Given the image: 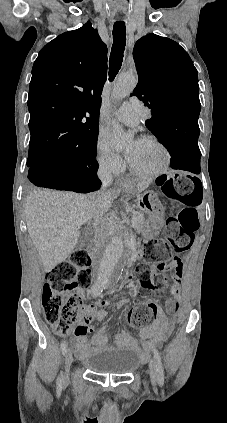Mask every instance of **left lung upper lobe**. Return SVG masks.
Segmentation results:
<instances>
[{
	"instance_id": "5c2ea615",
	"label": "left lung upper lobe",
	"mask_w": 227,
	"mask_h": 423,
	"mask_svg": "<svg viewBox=\"0 0 227 423\" xmlns=\"http://www.w3.org/2000/svg\"><path fill=\"white\" fill-rule=\"evenodd\" d=\"M139 76L131 96L151 109L146 127L160 140L199 129L198 73L175 41L155 34L139 39L133 50Z\"/></svg>"
}]
</instances>
